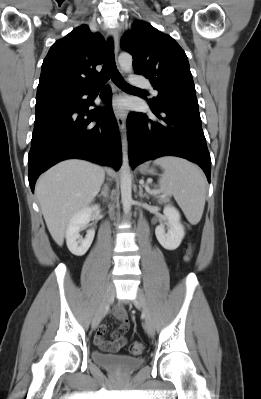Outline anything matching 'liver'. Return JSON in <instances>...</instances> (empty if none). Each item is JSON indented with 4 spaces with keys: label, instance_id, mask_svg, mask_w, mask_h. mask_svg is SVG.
I'll return each mask as SVG.
<instances>
[{
    "label": "liver",
    "instance_id": "obj_1",
    "mask_svg": "<svg viewBox=\"0 0 261 399\" xmlns=\"http://www.w3.org/2000/svg\"><path fill=\"white\" fill-rule=\"evenodd\" d=\"M104 178V167L77 159L58 163L39 178L35 193L47 228L59 246L70 218L94 200Z\"/></svg>",
    "mask_w": 261,
    "mask_h": 399
}]
</instances>
